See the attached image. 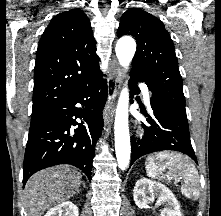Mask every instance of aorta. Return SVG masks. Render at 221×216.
Listing matches in <instances>:
<instances>
[{
    "instance_id": "obj_1",
    "label": "aorta",
    "mask_w": 221,
    "mask_h": 216,
    "mask_svg": "<svg viewBox=\"0 0 221 216\" xmlns=\"http://www.w3.org/2000/svg\"><path fill=\"white\" fill-rule=\"evenodd\" d=\"M115 51L119 64L128 69L136 51V43L132 37H121L116 44ZM128 106L129 90L125 86L120 93L114 124L116 158L121 170H125L129 165L131 154Z\"/></svg>"
}]
</instances>
